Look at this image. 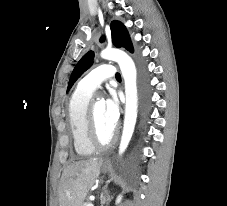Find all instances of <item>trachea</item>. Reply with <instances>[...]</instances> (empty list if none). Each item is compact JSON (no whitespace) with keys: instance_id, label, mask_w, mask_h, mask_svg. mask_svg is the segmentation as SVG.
Wrapping results in <instances>:
<instances>
[{"instance_id":"3493384b","label":"trachea","mask_w":227,"mask_h":206,"mask_svg":"<svg viewBox=\"0 0 227 206\" xmlns=\"http://www.w3.org/2000/svg\"><path fill=\"white\" fill-rule=\"evenodd\" d=\"M116 79L120 80L121 79V75L119 73L116 74Z\"/></svg>"}]
</instances>
